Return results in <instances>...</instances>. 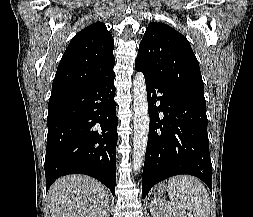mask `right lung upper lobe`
<instances>
[{
  "label": "right lung upper lobe",
  "mask_w": 253,
  "mask_h": 217,
  "mask_svg": "<svg viewBox=\"0 0 253 217\" xmlns=\"http://www.w3.org/2000/svg\"><path fill=\"white\" fill-rule=\"evenodd\" d=\"M113 49L112 35L102 22L77 33L58 65L51 96L79 89L111 72Z\"/></svg>",
  "instance_id": "right-lung-upper-lobe-1"
}]
</instances>
